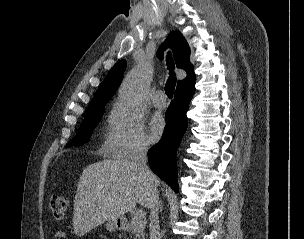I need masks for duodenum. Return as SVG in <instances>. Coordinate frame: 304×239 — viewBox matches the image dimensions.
<instances>
[{
  "mask_svg": "<svg viewBox=\"0 0 304 239\" xmlns=\"http://www.w3.org/2000/svg\"><path fill=\"white\" fill-rule=\"evenodd\" d=\"M117 225H118L119 229H121V230H127L129 228L128 221L124 220V219H119L117 221Z\"/></svg>",
  "mask_w": 304,
  "mask_h": 239,
  "instance_id": "410a0bca",
  "label": "duodenum"
}]
</instances>
